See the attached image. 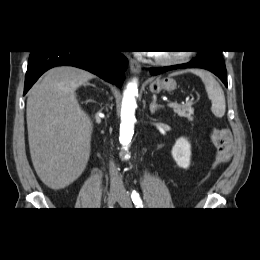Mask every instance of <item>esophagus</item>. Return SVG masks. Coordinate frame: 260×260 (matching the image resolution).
<instances>
[{"label": "esophagus", "instance_id": "esophagus-1", "mask_svg": "<svg viewBox=\"0 0 260 260\" xmlns=\"http://www.w3.org/2000/svg\"><path fill=\"white\" fill-rule=\"evenodd\" d=\"M130 70L133 73H139L141 71V65L134 59L130 61Z\"/></svg>", "mask_w": 260, "mask_h": 260}]
</instances>
